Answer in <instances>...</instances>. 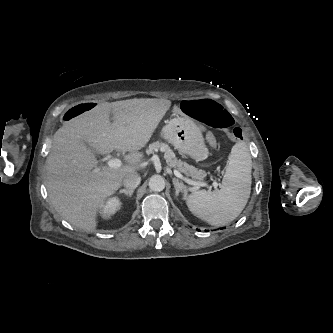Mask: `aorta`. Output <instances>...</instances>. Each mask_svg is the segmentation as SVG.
<instances>
[{
	"label": "aorta",
	"instance_id": "762f6f07",
	"mask_svg": "<svg viewBox=\"0 0 333 333\" xmlns=\"http://www.w3.org/2000/svg\"><path fill=\"white\" fill-rule=\"evenodd\" d=\"M149 188L154 192H160L165 188V180L160 175H153L149 180Z\"/></svg>",
	"mask_w": 333,
	"mask_h": 333
}]
</instances>
